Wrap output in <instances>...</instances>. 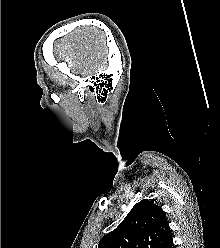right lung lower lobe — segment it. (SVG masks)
Here are the masks:
<instances>
[{
    "label": "right lung lower lobe",
    "instance_id": "right-lung-lower-lobe-1",
    "mask_svg": "<svg viewBox=\"0 0 220 248\" xmlns=\"http://www.w3.org/2000/svg\"><path fill=\"white\" fill-rule=\"evenodd\" d=\"M162 248H174L172 236L165 242Z\"/></svg>",
    "mask_w": 220,
    "mask_h": 248
}]
</instances>
